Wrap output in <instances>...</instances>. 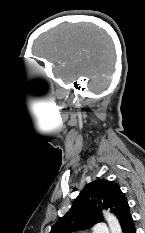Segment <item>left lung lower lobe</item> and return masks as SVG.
<instances>
[{
	"label": "left lung lower lobe",
	"instance_id": "1",
	"mask_svg": "<svg viewBox=\"0 0 145 233\" xmlns=\"http://www.w3.org/2000/svg\"><path fill=\"white\" fill-rule=\"evenodd\" d=\"M123 233H136L135 224L133 219L124 228Z\"/></svg>",
	"mask_w": 145,
	"mask_h": 233
}]
</instances>
